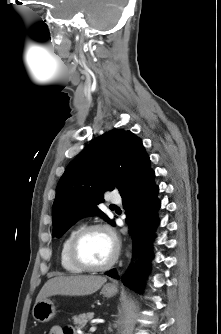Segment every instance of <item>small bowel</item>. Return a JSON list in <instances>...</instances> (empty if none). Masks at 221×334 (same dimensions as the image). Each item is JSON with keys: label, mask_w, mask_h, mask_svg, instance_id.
<instances>
[{"label": "small bowel", "mask_w": 221, "mask_h": 334, "mask_svg": "<svg viewBox=\"0 0 221 334\" xmlns=\"http://www.w3.org/2000/svg\"><path fill=\"white\" fill-rule=\"evenodd\" d=\"M49 334H74V332L71 330H64L60 326L56 325L50 329Z\"/></svg>", "instance_id": "c3829d8e"}]
</instances>
